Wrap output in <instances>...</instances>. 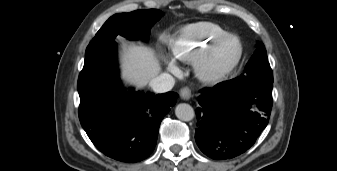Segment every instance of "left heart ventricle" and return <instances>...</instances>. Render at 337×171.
Wrapping results in <instances>:
<instances>
[{"mask_svg":"<svg viewBox=\"0 0 337 171\" xmlns=\"http://www.w3.org/2000/svg\"><path fill=\"white\" fill-rule=\"evenodd\" d=\"M237 47L235 42L227 41L217 48L210 59V66L215 70H220L227 66L235 57Z\"/></svg>","mask_w":337,"mask_h":171,"instance_id":"b2bd125f","label":"left heart ventricle"}]
</instances>
